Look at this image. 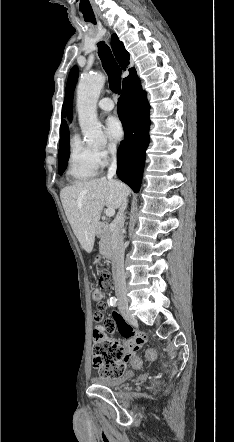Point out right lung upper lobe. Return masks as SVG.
Masks as SVG:
<instances>
[{
    "label": "right lung upper lobe",
    "mask_w": 234,
    "mask_h": 442,
    "mask_svg": "<svg viewBox=\"0 0 234 442\" xmlns=\"http://www.w3.org/2000/svg\"><path fill=\"white\" fill-rule=\"evenodd\" d=\"M112 49L114 52V55L119 62L121 68L123 70L126 69V67L129 65V53L125 50L123 43L118 39L116 34H113L112 40H111ZM130 75L123 79L125 81L127 78L131 77L132 75L136 74V71L134 68H131L129 70ZM62 117H65V110L64 106L62 108ZM69 141V129L67 126V123L64 119L61 120V135H60V146H63L65 143Z\"/></svg>",
    "instance_id": "cb5924a9"
}]
</instances>
